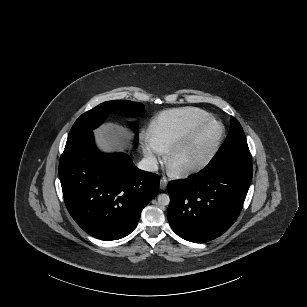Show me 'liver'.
<instances>
[{
	"label": "liver",
	"instance_id": "liver-1",
	"mask_svg": "<svg viewBox=\"0 0 307 307\" xmlns=\"http://www.w3.org/2000/svg\"><path fill=\"white\" fill-rule=\"evenodd\" d=\"M94 133L98 147L104 152L122 151L132 138L128 128L112 122L103 124Z\"/></svg>",
	"mask_w": 307,
	"mask_h": 307
}]
</instances>
